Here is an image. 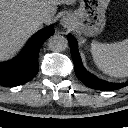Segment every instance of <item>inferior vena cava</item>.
<instances>
[{"label": "inferior vena cava", "mask_w": 128, "mask_h": 128, "mask_svg": "<svg viewBox=\"0 0 128 128\" xmlns=\"http://www.w3.org/2000/svg\"><path fill=\"white\" fill-rule=\"evenodd\" d=\"M38 19L46 23L51 19V14L47 9H42L38 14Z\"/></svg>", "instance_id": "inferior-vena-cava-1"}]
</instances>
